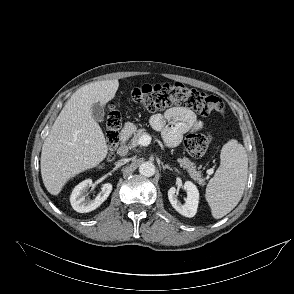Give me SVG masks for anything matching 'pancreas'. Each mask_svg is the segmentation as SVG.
Masks as SVG:
<instances>
[{"label":"pancreas","mask_w":294,"mask_h":294,"mask_svg":"<svg viewBox=\"0 0 294 294\" xmlns=\"http://www.w3.org/2000/svg\"><path fill=\"white\" fill-rule=\"evenodd\" d=\"M148 134L146 129L141 128L133 131V137L130 142V147L134 148L138 146V140L141 136ZM178 162L189 174V176L196 181L199 185H204L205 180L202 178V173L197 171L195 163L191 162L187 157L179 158Z\"/></svg>","instance_id":"pancreas-1"}]
</instances>
